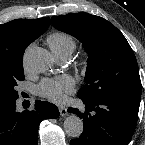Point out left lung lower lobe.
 I'll use <instances>...</instances> for the list:
<instances>
[{
	"mask_svg": "<svg viewBox=\"0 0 145 145\" xmlns=\"http://www.w3.org/2000/svg\"><path fill=\"white\" fill-rule=\"evenodd\" d=\"M78 97L86 111H68L83 119L84 130L70 145H128L137 124L141 94H119L94 101Z\"/></svg>",
	"mask_w": 145,
	"mask_h": 145,
	"instance_id": "0a47b994",
	"label": "left lung lower lobe"
}]
</instances>
